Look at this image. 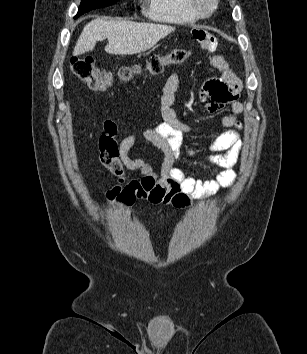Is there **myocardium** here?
Masks as SVG:
<instances>
[{"label":"myocardium","instance_id":"obj_1","mask_svg":"<svg viewBox=\"0 0 307 354\" xmlns=\"http://www.w3.org/2000/svg\"><path fill=\"white\" fill-rule=\"evenodd\" d=\"M204 0H188V6L190 10L198 18H207L210 17L218 7V0H207L208 6H203Z\"/></svg>","mask_w":307,"mask_h":354}]
</instances>
